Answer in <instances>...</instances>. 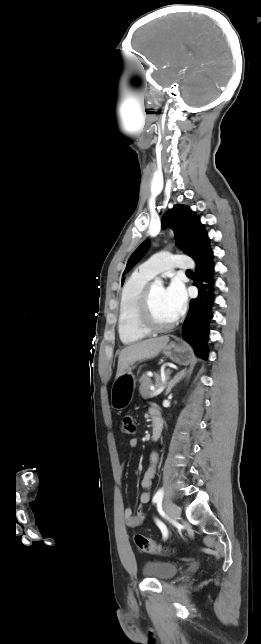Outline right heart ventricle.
Here are the masks:
<instances>
[{
	"instance_id": "obj_1",
	"label": "right heart ventricle",
	"mask_w": 261,
	"mask_h": 644,
	"mask_svg": "<svg viewBox=\"0 0 261 644\" xmlns=\"http://www.w3.org/2000/svg\"><path fill=\"white\" fill-rule=\"evenodd\" d=\"M151 279L141 271H135L125 282L119 303L118 333L122 343H137L148 336L137 321V308L141 293Z\"/></svg>"
}]
</instances>
